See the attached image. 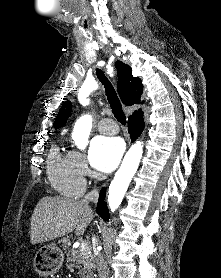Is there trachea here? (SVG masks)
Listing matches in <instances>:
<instances>
[{
    "label": "trachea",
    "instance_id": "3493384b",
    "mask_svg": "<svg viewBox=\"0 0 221 278\" xmlns=\"http://www.w3.org/2000/svg\"><path fill=\"white\" fill-rule=\"evenodd\" d=\"M96 75L99 79V81L102 83V85L105 88V93L107 96V99L109 101L110 107L112 109V113L114 114V117L117 119L119 123L122 125L126 124V116L123 112L121 102L117 96V93L111 84V82L107 79L104 72L101 69L96 70Z\"/></svg>",
    "mask_w": 221,
    "mask_h": 278
}]
</instances>
